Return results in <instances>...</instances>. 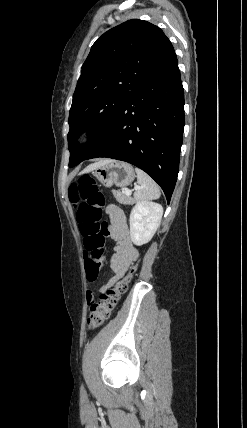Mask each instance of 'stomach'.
I'll return each instance as SVG.
<instances>
[{
	"instance_id": "0dacf381",
	"label": "stomach",
	"mask_w": 247,
	"mask_h": 428,
	"mask_svg": "<svg viewBox=\"0 0 247 428\" xmlns=\"http://www.w3.org/2000/svg\"><path fill=\"white\" fill-rule=\"evenodd\" d=\"M93 174L105 187H111L113 185L117 187H126L130 185L135 178L132 165L121 161H112L101 165L93 170Z\"/></svg>"
}]
</instances>
